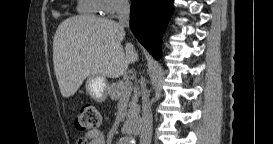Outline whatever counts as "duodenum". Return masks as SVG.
I'll return each mask as SVG.
<instances>
[{
    "label": "duodenum",
    "instance_id": "obj_1",
    "mask_svg": "<svg viewBox=\"0 0 273 144\" xmlns=\"http://www.w3.org/2000/svg\"><path fill=\"white\" fill-rule=\"evenodd\" d=\"M124 129L127 134L138 135L140 133V127L137 121H125Z\"/></svg>",
    "mask_w": 273,
    "mask_h": 144
}]
</instances>
